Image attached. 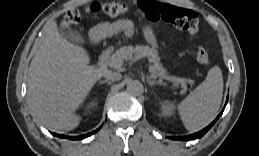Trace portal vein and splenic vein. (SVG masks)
I'll use <instances>...</instances> for the list:
<instances>
[{
	"label": "portal vein and splenic vein",
	"instance_id": "portal-vein-and-splenic-vein-1",
	"mask_svg": "<svg viewBox=\"0 0 259 156\" xmlns=\"http://www.w3.org/2000/svg\"><path fill=\"white\" fill-rule=\"evenodd\" d=\"M119 65H122V62H120ZM149 71H150L152 74H155L152 67L149 68ZM153 76H154V75H153ZM162 78L167 79V80H170V81H172V82H178V83H181V84H185V82H186L185 79L177 78V77L164 76V77H162Z\"/></svg>",
	"mask_w": 259,
	"mask_h": 156
}]
</instances>
